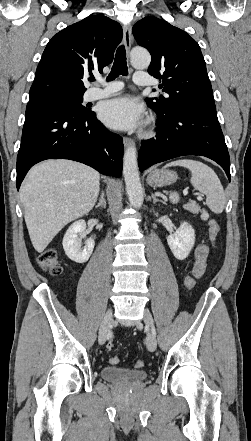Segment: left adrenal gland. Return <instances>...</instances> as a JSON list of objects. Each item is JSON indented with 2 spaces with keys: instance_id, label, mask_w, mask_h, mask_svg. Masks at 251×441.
I'll return each instance as SVG.
<instances>
[{
  "instance_id": "obj_1",
  "label": "left adrenal gland",
  "mask_w": 251,
  "mask_h": 441,
  "mask_svg": "<svg viewBox=\"0 0 251 441\" xmlns=\"http://www.w3.org/2000/svg\"><path fill=\"white\" fill-rule=\"evenodd\" d=\"M151 197L153 199V204H156V202H162L163 204H165V202H163L162 200H159L155 194H151Z\"/></svg>"
}]
</instances>
